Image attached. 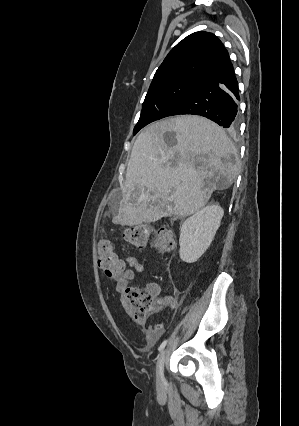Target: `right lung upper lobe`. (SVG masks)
Returning a JSON list of instances; mask_svg holds the SVG:
<instances>
[{"instance_id":"cb5924a9","label":"right lung upper lobe","mask_w":299,"mask_h":426,"mask_svg":"<svg viewBox=\"0 0 299 426\" xmlns=\"http://www.w3.org/2000/svg\"><path fill=\"white\" fill-rule=\"evenodd\" d=\"M232 67L227 50L214 34L196 32L169 52L157 69L150 88L166 83L200 86Z\"/></svg>"}]
</instances>
